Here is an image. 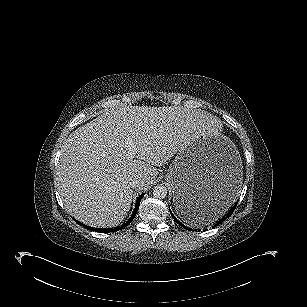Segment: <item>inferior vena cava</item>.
<instances>
[{"instance_id": "inferior-vena-cava-1", "label": "inferior vena cava", "mask_w": 307, "mask_h": 307, "mask_svg": "<svg viewBox=\"0 0 307 307\" xmlns=\"http://www.w3.org/2000/svg\"><path fill=\"white\" fill-rule=\"evenodd\" d=\"M141 184H142V181H141V180H137V179H134V180H132V181L129 183L130 187H131V188H134V189L139 188V187L141 186Z\"/></svg>"}]
</instances>
